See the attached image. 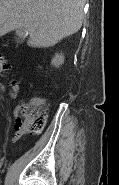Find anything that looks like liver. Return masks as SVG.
<instances>
[{
	"instance_id": "1",
	"label": "liver",
	"mask_w": 119,
	"mask_h": 185,
	"mask_svg": "<svg viewBox=\"0 0 119 185\" xmlns=\"http://www.w3.org/2000/svg\"><path fill=\"white\" fill-rule=\"evenodd\" d=\"M86 0H0V36L15 29L29 34L28 45L50 47L82 26Z\"/></svg>"
}]
</instances>
